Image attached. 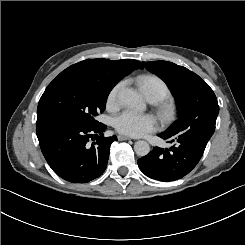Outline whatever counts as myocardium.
<instances>
[{
	"instance_id": "1",
	"label": "myocardium",
	"mask_w": 245,
	"mask_h": 245,
	"mask_svg": "<svg viewBox=\"0 0 245 245\" xmlns=\"http://www.w3.org/2000/svg\"><path fill=\"white\" fill-rule=\"evenodd\" d=\"M169 110H170V106L168 103H164L163 106H162V113L165 117L168 116L169 114Z\"/></svg>"
}]
</instances>
